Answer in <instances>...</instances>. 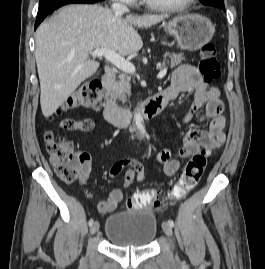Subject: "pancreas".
Instances as JSON below:
<instances>
[{
  "mask_svg": "<svg viewBox=\"0 0 265 269\" xmlns=\"http://www.w3.org/2000/svg\"><path fill=\"white\" fill-rule=\"evenodd\" d=\"M169 57L170 61H168L166 58ZM184 59V56L182 53L179 54H165L164 55V61L163 64L159 65V68H165L167 65L170 66V68H174L178 66L182 60ZM131 78L126 75L122 74L119 76V81L115 83V94L118 98H120L123 102H125L127 99V96L131 95L130 84Z\"/></svg>",
  "mask_w": 265,
  "mask_h": 269,
  "instance_id": "pancreas-1",
  "label": "pancreas"
}]
</instances>
